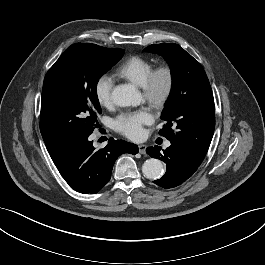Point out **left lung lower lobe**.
Wrapping results in <instances>:
<instances>
[{
    "instance_id": "obj_1",
    "label": "left lung lower lobe",
    "mask_w": 265,
    "mask_h": 265,
    "mask_svg": "<svg viewBox=\"0 0 265 265\" xmlns=\"http://www.w3.org/2000/svg\"><path fill=\"white\" fill-rule=\"evenodd\" d=\"M159 146L148 147L147 154L166 163L165 175L154 183L165 189L181 185L197 170L201 162L195 160L186 151L173 144L160 152Z\"/></svg>"
}]
</instances>
